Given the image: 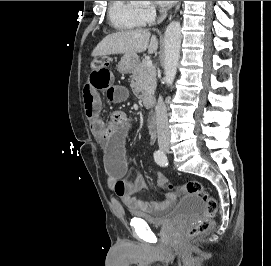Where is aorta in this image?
Segmentation results:
<instances>
[{
    "instance_id": "762f6f07",
    "label": "aorta",
    "mask_w": 271,
    "mask_h": 266,
    "mask_svg": "<svg viewBox=\"0 0 271 266\" xmlns=\"http://www.w3.org/2000/svg\"><path fill=\"white\" fill-rule=\"evenodd\" d=\"M181 25L178 21H172L165 30V58L164 79L167 86H171L177 73L180 57Z\"/></svg>"
}]
</instances>
